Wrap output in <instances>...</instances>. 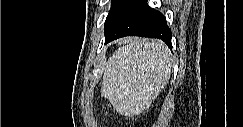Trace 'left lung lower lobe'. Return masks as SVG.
Instances as JSON below:
<instances>
[{"label":"left lung lower lobe","mask_w":243,"mask_h":127,"mask_svg":"<svg viewBox=\"0 0 243 127\" xmlns=\"http://www.w3.org/2000/svg\"><path fill=\"white\" fill-rule=\"evenodd\" d=\"M106 21L105 44L125 36H141L161 39L172 48L164 15L148 6L147 0H121Z\"/></svg>","instance_id":"left-lung-lower-lobe-1"}]
</instances>
